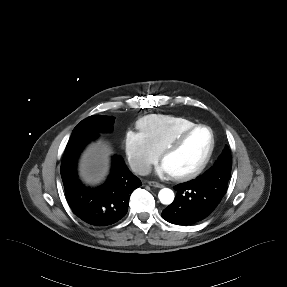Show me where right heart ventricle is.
I'll use <instances>...</instances> for the list:
<instances>
[{
    "label": "right heart ventricle",
    "instance_id": "obj_1",
    "mask_svg": "<svg viewBox=\"0 0 287 287\" xmlns=\"http://www.w3.org/2000/svg\"><path fill=\"white\" fill-rule=\"evenodd\" d=\"M195 122L179 115L150 114L138 121L140 132L161 152L180 132Z\"/></svg>",
    "mask_w": 287,
    "mask_h": 287
}]
</instances>
